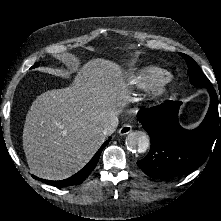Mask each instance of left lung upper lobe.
<instances>
[{"instance_id": "obj_1", "label": "left lung upper lobe", "mask_w": 221, "mask_h": 221, "mask_svg": "<svg viewBox=\"0 0 221 221\" xmlns=\"http://www.w3.org/2000/svg\"><path fill=\"white\" fill-rule=\"evenodd\" d=\"M180 55L186 60L188 65V75L190 77V83L194 86L208 88L212 86L208 78L202 73L197 63L188 55L180 53Z\"/></svg>"}]
</instances>
